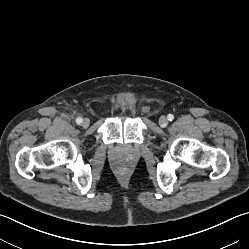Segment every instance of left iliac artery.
<instances>
[{
  "label": "left iliac artery",
  "instance_id": "1",
  "mask_svg": "<svg viewBox=\"0 0 249 249\" xmlns=\"http://www.w3.org/2000/svg\"><path fill=\"white\" fill-rule=\"evenodd\" d=\"M167 119H168L169 121H172V120L174 119L173 114H168Z\"/></svg>",
  "mask_w": 249,
  "mask_h": 249
}]
</instances>
